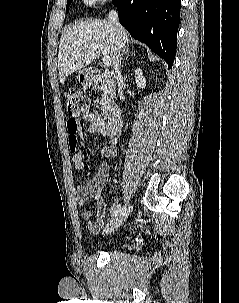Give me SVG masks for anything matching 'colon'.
Listing matches in <instances>:
<instances>
[{"label":"colon","mask_w":239,"mask_h":303,"mask_svg":"<svg viewBox=\"0 0 239 303\" xmlns=\"http://www.w3.org/2000/svg\"><path fill=\"white\" fill-rule=\"evenodd\" d=\"M67 111L72 117L87 114L90 109V102L78 88H71L66 93ZM74 119V118H72ZM70 131L73 133L76 129L74 121L69 122Z\"/></svg>","instance_id":"colon-1"}]
</instances>
